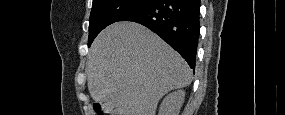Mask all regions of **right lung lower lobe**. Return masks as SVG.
I'll return each instance as SVG.
<instances>
[{"label":"right lung lower lobe","mask_w":285,"mask_h":115,"mask_svg":"<svg viewBox=\"0 0 285 115\" xmlns=\"http://www.w3.org/2000/svg\"><path fill=\"white\" fill-rule=\"evenodd\" d=\"M118 21L140 23L166 41L194 69L200 35L199 0H150Z\"/></svg>","instance_id":"1"}]
</instances>
